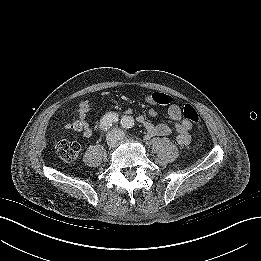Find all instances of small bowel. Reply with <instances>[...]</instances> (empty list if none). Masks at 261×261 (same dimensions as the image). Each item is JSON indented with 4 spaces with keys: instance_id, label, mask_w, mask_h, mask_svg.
Here are the masks:
<instances>
[{
    "instance_id": "obj_1",
    "label": "small bowel",
    "mask_w": 261,
    "mask_h": 261,
    "mask_svg": "<svg viewBox=\"0 0 261 261\" xmlns=\"http://www.w3.org/2000/svg\"><path fill=\"white\" fill-rule=\"evenodd\" d=\"M144 99L147 103L153 106L159 104L154 98V93L146 95ZM91 106V100L86 99L80 102L79 107L77 109V116L78 120L82 125V134L84 137H91L92 135V130L88 122V113L91 109ZM148 113L151 117L157 115V111L155 108H151ZM167 113L176 132V142L181 146L188 145L191 140L189 131L192 128V123L189 120L182 117L181 109L175 103H170L168 105ZM136 121L145 128L149 136H168L172 132V127L169 124H154L151 121H149L143 114L138 115L136 117Z\"/></svg>"
}]
</instances>
